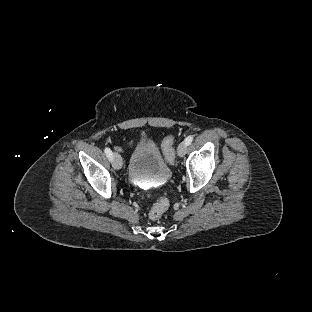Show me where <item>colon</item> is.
<instances>
[{
    "mask_svg": "<svg viewBox=\"0 0 312 312\" xmlns=\"http://www.w3.org/2000/svg\"><path fill=\"white\" fill-rule=\"evenodd\" d=\"M174 141L175 134L173 132L168 133L162 141V150L165 155V160L170 165H172L175 161V154L173 150ZM166 206L167 202L161 199L160 201L156 202L151 208V215L154 217L161 215L165 211Z\"/></svg>",
    "mask_w": 312,
    "mask_h": 312,
    "instance_id": "1",
    "label": "colon"
}]
</instances>
